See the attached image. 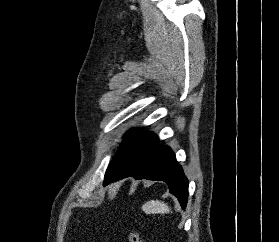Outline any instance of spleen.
Listing matches in <instances>:
<instances>
[{"mask_svg":"<svg viewBox=\"0 0 279 242\" xmlns=\"http://www.w3.org/2000/svg\"><path fill=\"white\" fill-rule=\"evenodd\" d=\"M147 214H164L170 212V207L163 201L151 200L145 203L142 207Z\"/></svg>","mask_w":279,"mask_h":242,"instance_id":"3e777b00","label":"spleen"}]
</instances>
